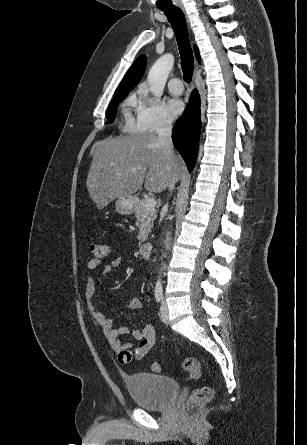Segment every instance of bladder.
I'll return each instance as SVG.
<instances>
[{"mask_svg": "<svg viewBox=\"0 0 307 445\" xmlns=\"http://www.w3.org/2000/svg\"><path fill=\"white\" fill-rule=\"evenodd\" d=\"M125 385L135 405L148 410L168 408L180 392L175 379L148 372L128 376Z\"/></svg>", "mask_w": 307, "mask_h": 445, "instance_id": "obj_1", "label": "bladder"}]
</instances>
